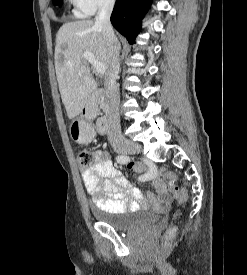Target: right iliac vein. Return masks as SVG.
<instances>
[{"mask_svg":"<svg viewBox=\"0 0 247 275\" xmlns=\"http://www.w3.org/2000/svg\"><path fill=\"white\" fill-rule=\"evenodd\" d=\"M116 151L120 154H135L141 151V147L135 142L124 140L116 147Z\"/></svg>","mask_w":247,"mask_h":275,"instance_id":"1","label":"right iliac vein"}]
</instances>
